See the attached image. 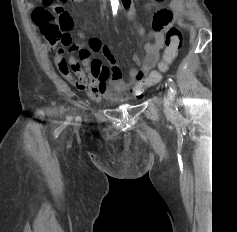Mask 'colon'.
Here are the masks:
<instances>
[{
    "instance_id": "5ec220e1",
    "label": "colon",
    "mask_w": 237,
    "mask_h": 232,
    "mask_svg": "<svg viewBox=\"0 0 237 232\" xmlns=\"http://www.w3.org/2000/svg\"><path fill=\"white\" fill-rule=\"evenodd\" d=\"M67 0H42L46 7H51L52 11L46 7H37L32 13V20L42 33L46 41L55 47L59 43L67 45L71 41L70 31L73 28V20L70 14L60 5ZM182 47V34L178 28L169 29L165 38V50L159 70L152 71L147 78L148 85L157 84L162 73L165 72L177 57Z\"/></svg>"
}]
</instances>
